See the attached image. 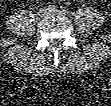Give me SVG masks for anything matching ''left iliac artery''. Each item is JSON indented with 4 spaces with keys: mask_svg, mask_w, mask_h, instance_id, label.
<instances>
[{
    "mask_svg": "<svg viewBox=\"0 0 111 106\" xmlns=\"http://www.w3.org/2000/svg\"><path fill=\"white\" fill-rule=\"evenodd\" d=\"M61 10H62L63 13H68V8H67V7H63V6H62V7H61Z\"/></svg>",
    "mask_w": 111,
    "mask_h": 106,
    "instance_id": "44dca946",
    "label": "left iliac artery"
}]
</instances>
